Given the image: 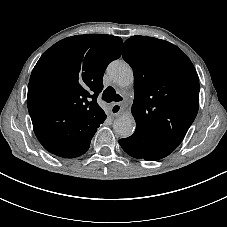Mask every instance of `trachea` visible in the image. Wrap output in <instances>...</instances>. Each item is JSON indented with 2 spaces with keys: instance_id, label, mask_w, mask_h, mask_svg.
Returning a JSON list of instances; mask_svg holds the SVG:
<instances>
[{
  "instance_id": "3493384b",
  "label": "trachea",
  "mask_w": 227,
  "mask_h": 227,
  "mask_svg": "<svg viewBox=\"0 0 227 227\" xmlns=\"http://www.w3.org/2000/svg\"><path fill=\"white\" fill-rule=\"evenodd\" d=\"M102 99L106 102H120L123 100V98L116 93L115 89L111 86L107 87L103 94H102Z\"/></svg>"
}]
</instances>
